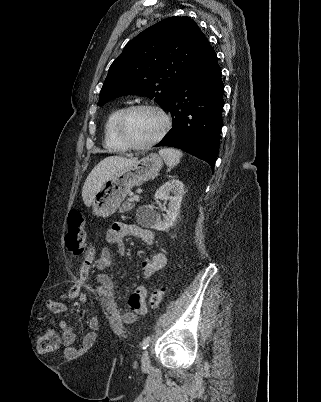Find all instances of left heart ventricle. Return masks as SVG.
Listing matches in <instances>:
<instances>
[{"label":"left heart ventricle","mask_w":321,"mask_h":402,"mask_svg":"<svg viewBox=\"0 0 321 402\" xmlns=\"http://www.w3.org/2000/svg\"><path fill=\"white\" fill-rule=\"evenodd\" d=\"M163 127L161 116L151 110H136L125 121L124 132L136 144H144L154 139Z\"/></svg>","instance_id":"1"}]
</instances>
